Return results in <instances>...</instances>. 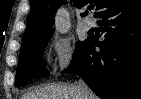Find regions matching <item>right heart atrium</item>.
Wrapping results in <instances>:
<instances>
[{
    "label": "right heart atrium",
    "instance_id": "1",
    "mask_svg": "<svg viewBox=\"0 0 141 99\" xmlns=\"http://www.w3.org/2000/svg\"><path fill=\"white\" fill-rule=\"evenodd\" d=\"M55 65L60 74H66L72 68L76 59V48L66 38H58L53 44Z\"/></svg>",
    "mask_w": 141,
    "mask_h": 99
}]
</instances>
